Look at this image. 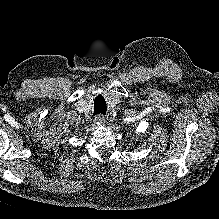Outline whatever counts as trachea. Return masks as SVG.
I'll return each instance as SVG.
<instances>
[{
    "mask_svg": "<svg viewBox=\"0 0 219 219\" xmlns=\"http://www.w3.org/2000/svg\"><path fill=\"white\" fill-rule=\"evenodd\" d=\"M105 113H106V105L105 104L95 103V105H94V114L93 115H96V114L105 115Z\"/></svg>",
    "mask_w": 219,
    "mask_h": 219,
    "instance_id": "1",
    "label": "trachea"
}]
</instances>
